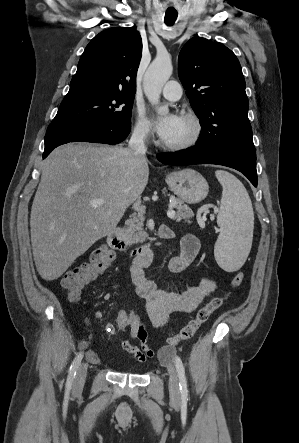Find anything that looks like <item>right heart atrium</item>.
<instances>
[{
  "label": "right heart atrium",
  "mask_w": 299,
  "mask_h": 443,
  "mask_svg": "<svg viewBox=\"0 0 299 443\" xmlns=\"http://www.w3.org/2000/svg\"><path fill=\"white\" fill-rule=\"evenodd\" d=\"M133 137L139 142H148L152 137L151 127L143 112L137 111L132 128Z\"/></svg>",
  "instance_id": "obj_1"
}]
</instances>
